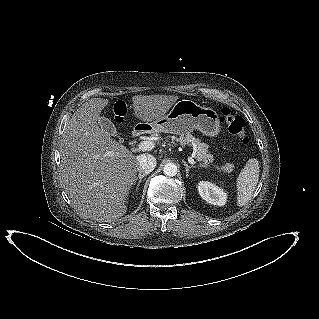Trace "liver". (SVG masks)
I'll return each mask as SVG.
<instances>
[{
  "label": "liver",
  "instance_id": "liver-1",
  "mask_svg": "<svg viewBox=\"0 0 319 319\" xmlns=\"http://www.w3.org/2000/svg\"><path fill=\"white\" fill-rule=\"evenodd\" d=\"M177 100L167 95L134 96L133 114L150 123L164 117ZM108 102L92 98L83 103L68 122L60 144L64 190L80 216L99 222H111L126 213L138 167V156L98 124Z\"/></svg>",
  "mask_w": 319,
  "mask_h": 319
}]
</instances>
